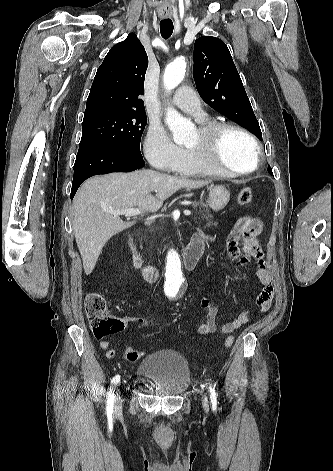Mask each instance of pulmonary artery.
Segmentation results:
<instances>
[{
    "label": "pulmonary artery",
    "mask_w": 333,
    "mask_h": 471,
    "mask_svg": "<svg viewBox=\"0 0 333 471\" xmlns=\"http://www.w3.org/2000/svg\"><path fill=\"white\" fill-rule=\"evenodd\" d=\"M172 104L183 112L197 117L199 120H202L205 116L201 109L199 98L195 92L187 86H182L176 91L172 99Z\"/></svg>",
    "instance_id": "obj_1"
}]
</instances>
